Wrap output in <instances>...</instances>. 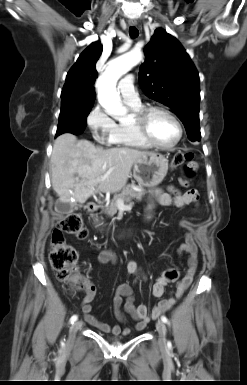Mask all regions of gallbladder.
I'll return each instance as SVG.
<instances>
[{
  "label": "gallbladder",
  "instance_id": "obj_1",
  "mask_svg": "<svg viewBox=\"0 0 247 385\" xmlns=\"http://www.w3.org/2000/svg\"><path fill=\"white\" fill-rule=\"evenodd\" d=\"M76 209V204L74 203H64L60 200H57L55 203V210L59 214H70Z\"/></svg>",
  "mask_w": 247,
  "mask_h": 385
}]
</instances>
